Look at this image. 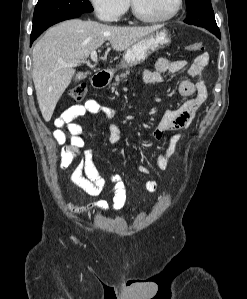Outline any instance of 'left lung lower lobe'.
<instances>
[{"mask_svg":"<svg viewBox=\"0 0 247 299\" xmlns=\"http://www.w3.org/2000/svg\"><path fill=\"white\" fill-rule=\"evenodd\" d=\"M209 31L212 32L213 34H215L219 39L221 38L220 31H212V30H209Z\"/></svg>","mask_w":247,"mask_h":299,"instance_id":"left-lung-lower-lobe-1","label":"left lung lower lobe"}]
</instances>
